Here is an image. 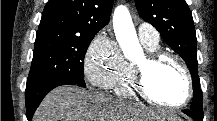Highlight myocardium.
<instances>
[{
  "label": "myocardium",
  "mask_w": 217,
  "mask_h": 121,
  "mask_svg": "<svg viewBox=\"0 0 217 121\" xmlns=\"http://www.w3.org/2000/svg\"><path fill=\"white\" fill-rule=\"evenodd\" d=\"M168 59L174 62L183 72L187 89L184 98L175 104H166L160 99L154 97L148 87L147 83V74L148 71L159 65L163 60ZM133 78L137 92L146 100L168 108V109H180L186 106L193 97V81L191 77V73L185 64V62L177 55L167 52V51H155L148 53L145 58H143L140 62L133 65Z\"/></svg>",
  "instance_id": "f54148a6"
}]
</instances>
